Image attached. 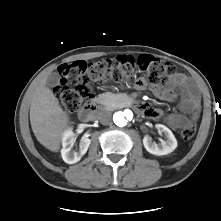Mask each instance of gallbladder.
Wrapping results in <instances>:
<instances>
[{
    "label": "gallbladder",
    "instance_id": "gallbladder-1",
    "mask_svg": "<svg viewBox=\"0 0 221 221\" xmlns=\"http://www.w3.org/2000/svg\"><path fill=\"white\" fill-rule=\"evenodd\" d=\"M60 76L58 73L53 72L47 77V85L53 87L59 83Z\"/></svg>",
    "mask_w": 221,
    "mask_h": 221
}]
</instances>
